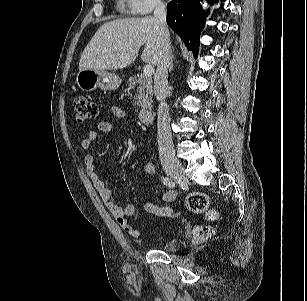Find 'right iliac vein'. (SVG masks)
Instances as JSON below:
<instances>
[{"label": "right iliac vein", "instance_id": "right-iliac-vein-1", "mask_svg": "<svg viewBox=\"0 0 307 301\" xmlns=\"http://www.w3.org/2000/svg\"><path fill=\"white\" fill-rule=\"evenodd\" d=\"M164 170L174 179L187 183V177L184 174L183 167L178 159L173 156H164L162 158Z\"/></svg>", "mask_w": 307, "mask_h": 301}]
</instances>
